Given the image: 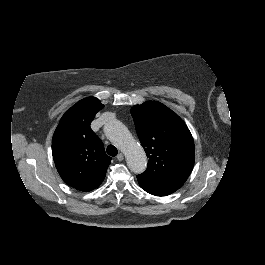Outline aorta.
Listing matches in <instances>:
<instances>
[{"mask_svg":"<svg viewBox=\"0 0 265 265\" xmlns=\"http://www.w3.org/2000/svg\"><path fill=\"white\" fill-rule=\"evenodd\" d=\"M104 133L108 140L117 143L125 154L126 162L129 169L141 174L146 170L147 157L142 146L135 141L127 127L119 120L106 123Z\"/></svg>","mask_w":265,"mask_h":265,"instance_id":"aorta-1","label":"aorta"}]
</instances>
